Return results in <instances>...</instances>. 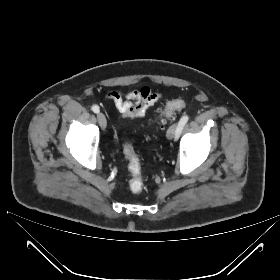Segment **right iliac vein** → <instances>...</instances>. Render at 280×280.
<instances>
[{
	"label": "right iliac vein",
	"instance_id": "63e3f726",
	"mask_svg": "<svg viewBox=\"0 0 280 280\" xmlns=\"http://www.w3.org/2000/svg\"><path fill=\"white\" fill-rule=\"evenodd\" d=\"M97 119H98V123H99L101 129L105 130L106 126H107V121H106L105 115L103 113H98Z\"/></svg>",
	"mask_w": 280,
	"mask_h": 280
}]
</instances>
